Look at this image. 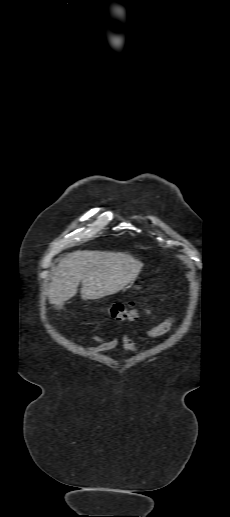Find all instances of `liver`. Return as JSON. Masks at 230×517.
<instances>
[{"label": "liver", "instance_id": "6515ba94", "mask_svg": "<svg viewBox=\"0 0 230 517\" xmlns=\"http://www.w3.org/2000/svg\"><path fill=\"white\" fill-rule=\"evenodd\" d=\"M143 264L128 253L75 251L58 263L53 274L49 301L62 306L77 294L81 282L84 299H100L113 295L127 286L140 272Z\"/></svg>", "mask_w": 230, "mask_h": 517}]
</instances>
